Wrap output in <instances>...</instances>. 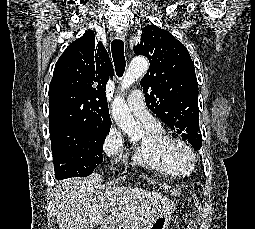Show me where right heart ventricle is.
<instances>
[{"label": "right heart ventricle", "instance_id": "1", "mask_svg": "<svg viewBox=\"0 0 255 229\" xmlns=\"http://www.w3.org/2000/svg\"><path fill=\"white\" fill-rule=\"evenodd\" d=\"M144 129L146 137L140 143L133 145L131 149L130 159L134 164L171 177L185 176L192 171L191 167L171 163L158 152L157 143L167 136L161 125L158 127L144 126Z\"/></svg>", "mask_w": 255, "mask_h": 229}]
</instances>
